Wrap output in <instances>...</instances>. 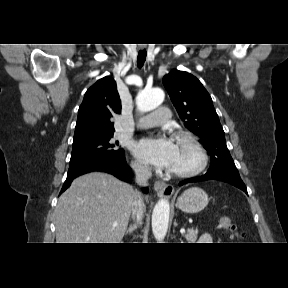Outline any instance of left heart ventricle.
<instances>
[{
    "mask_svg": "<svg viewBox=\"0 0 288 288\" xmlns=\"http://www.w3.org/2000/svg\"><path fill=\"white\" fill-rule=\"evenodd\" d=\"M196 163V156L193 150L186 144L176 142V155L169 169L178 170L193 166Z\"/></svg>",
    "mask_w": 288,
    "mask_h": 288,
    "instance_id": "b2bd125f",
    "label": "left heart ventricle"
}]
</instances>
